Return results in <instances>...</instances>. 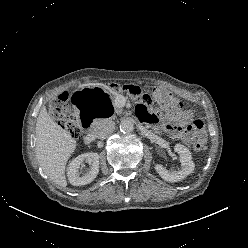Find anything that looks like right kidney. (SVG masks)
I'll return each mask as SVG.
<instances>
[{
    "instance_id": "obj_1",
    "label": "right kidney",
    "mask_w": 248,
    "mask_h": 248,
    "mask_svg": "<svg viewBox=\"0 0 248 248\" xmlns=\"http://www.w3.org/2000/svg\"><path fill=\"white\" fill-rule=\"evenodd\" d=\"M84 161L89 163L90 168L79 171ZM99 172V155L94 152L84 153L74 158L68 166L67 176L69 182L74 186H81L91 183Z\"/></svg>"
}]
</instances>
